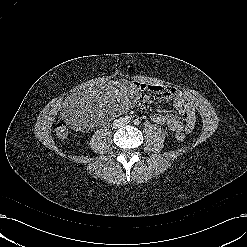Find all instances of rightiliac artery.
Masks as SVG:
<instances>
[{
    "label": "right iliac artery",
    "mask_w": 247,
    "mask_h": 247,
    "mask_svg": "<svg viewBox=\"0 0 247 247\" xmlns=\"http://www.w3.org/2000/svg\"><path fill=\"white\" fill-rule=\"evenodd\" d=\"M126 120H128V121H129V120H131V118H130V117H126Z\"/></svg>",
    "instance_id": "obj_1"
}]
</instances>
